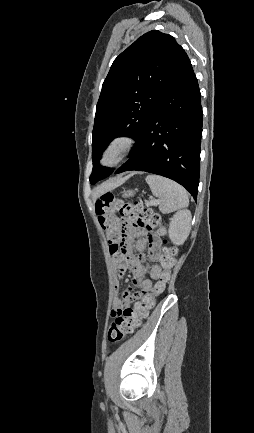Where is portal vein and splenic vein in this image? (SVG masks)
<instances>
[{"instance_id": "18ae733b", "label": "portal vein and splenic vein", "mask_w": 254, "mask_h": 433, "mask_svg": "<svg viewBox=\"0 0 254 433\" xmlns=\"http://www.w3.org/2000/svg\"><path fill=\"white\" fill-rule=\"evenodd\" d=\"M157 203H158L157 200H152V201L148 202L147 205L149 206V205H154V204H157Z\"/></svg>"}]
</instances>
